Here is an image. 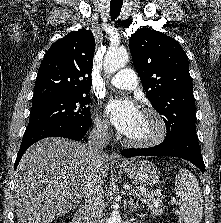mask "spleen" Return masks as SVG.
<instances>
[{"label":"spleen","instance_id":"spleen-1","mask_svg":"<svg viewBox=\"0 0 221 223\" xmlns=\"http://www.w3.org/2000/svg\"><path fill=\"white\" fill-rule=\"evenodd\" d=\"M175 190L181 204L178 223H200L203 214L202 192L189 170H179L175 178Z\"/></svg>","mask_w":221,"mask_h":223}]
</instances>
